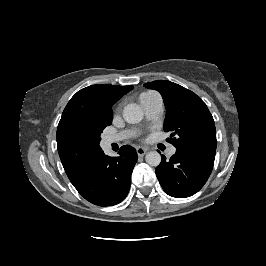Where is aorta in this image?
<instances>
[{"label":"aorta","mask_w":266,"mask_h":266,"mask_svg":"<svg viewBox=\"0 0 266 266\" xmlns=\"http://www.w3.org/2000/svg\"><path fill=\"white\" fill-rule=\"evenodd\" d=\"M123 118L130 124L139 123L143 119V111L135 103L128 104L124 107ZM145 160L150 166L156 167L161 162V155L157 151H151L146 154Z\"/></svg>","instance_id":"obj_1"}]
</instances>
